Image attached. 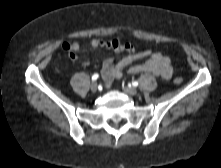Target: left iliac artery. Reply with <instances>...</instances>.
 Returning a JSON list of instances; mask_svg holds the SVG:
<instances>
[{
    "label": "left iliac artery",
    "instance_id": "left-iliac-artery-1",
    "mask_svg": "<svg viewBox=\"0 0 221 168\" xmlns=\"http://www.w3.org/2000/svg\"><path fill=\"white\" fill-rule=\"evenodd\" d=\"M138 84H139V83H138L137 81H133V82H132V86H134V87L138 86Z\"/></svg>",
    "mask_w": 221,
    "mask_h": 168
}]
</instances>
